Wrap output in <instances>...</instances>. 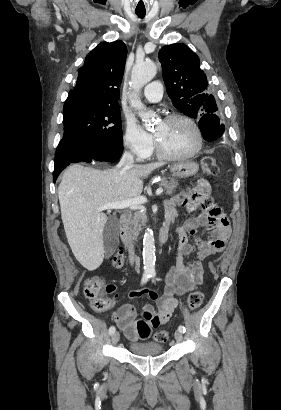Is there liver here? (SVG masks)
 <instances>
[{
    "mask_svg": "<svg viewBox=\"0 0 281 410\" xmlns=\"http://www.w3.org/2000/svg\"><path fill=\"white\" fill-rule=\"evenodd\" d=\"M163 165L98 170L73 164L66 169L58 187L61 218L70 248L83 267L93 271L104 259L103 230L108 218L97 209L140 196L142 179Z\"/></svg>",
    "mask_w": 281,
    "mask_h": 410,
    "instance_id": "liver-1",
    "label": "liver"
}]
</instances>
